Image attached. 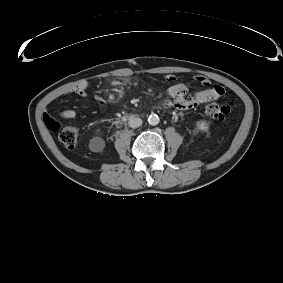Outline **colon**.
<instances>
[{
    "label": "colon",
    "instance_id": "obj_1",
    "mask_svg": "<svg viewBox=\"0 0 283 283\" xmlns=\"http://www.w3.org/2000/svg\"><path fill=\"white\" fill-rule=\"evenodd\" d=\"M229 111L227 105L211 103L205 106L203 113L209 119L221 121L226 118ZM59 139L66 147H74L78 140V130L75 127H64L59 133Z\"/></svg>",
    "mask_w": 283,
    "mask_h": 283
}]
</instances>
